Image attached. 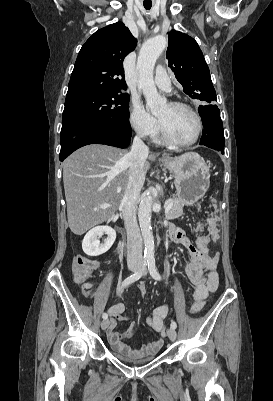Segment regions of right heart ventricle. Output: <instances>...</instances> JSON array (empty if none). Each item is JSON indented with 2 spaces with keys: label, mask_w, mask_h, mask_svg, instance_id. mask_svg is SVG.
Instances as JSON below:
<instances>
[{
  "label": "right heart ventricle",
  "mask_w": 273,
  "mask_h": 401,
  "mask_svg": "<svg viewBox=\"0 0 273 401\" xmlns=\"http://www.w3.org/2000/svg\"><path fill=\"white\" fill-rule=\"evenodd\" d=\"M155 139H156V141H158V142H162V143L164 142V141H163V138H162L159 134H157V133L155 134Z\"/></svg>",
  "instance_id": "e07e8e85"
}]
</instances>
